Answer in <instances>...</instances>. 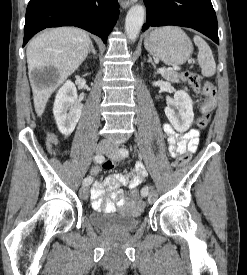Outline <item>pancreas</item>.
I'll return each instance as SVG.
<instances>
[{"instance_id":"obj_1","label":"pancreas","mask_w":247,"mask_h":275,"mask_svg":"<svg viewBox=\"0 0 247 275\" xmlns=\"http://www.w3.org/2000/svg\"><path fill=\"white\" fill-rule=\"evenodd\" d=\"M162 77L167 80L170 81L172 83H178L179 82V75L176 71H169L166 70L163 74Z\"/></svg>"}]
</instances>
